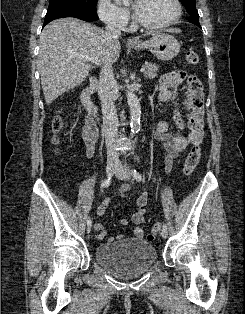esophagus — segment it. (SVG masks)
Masks as SVG:
<instances>
[{"mask_svg": "<svg viewBox=\"0 0 245 314\" xmlns=\"http://www.w3.org/2000/svg\"><path fill=\"white\" fill-rule=\"evenodd\" d=\"M128 43H136V40L133 38H128L127 40Z\"/></svg>", "mask_w": 245, "mask_h": 314, "instance_id": "34e87169", "label": "esophagus"}]
</instances>
